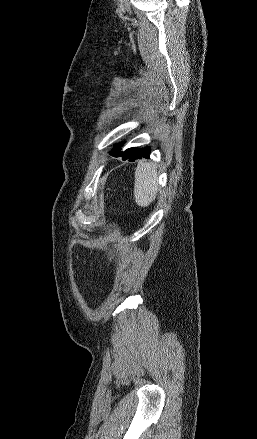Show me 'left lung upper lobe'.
I'll list each match as a JSON object with an SVG mask.
<instances>
[{
  "mask_svg": "<svg viewBox=\"0 0 257 439\" xmlns=\"http://www.w3.org/2000/svg\"><path fill=\"white\" fill-rule=\"evenodd\" d=\"M122 145H123V143L118 144V146H122ZM134 149L135 148H129V149H126L124 152H120V151H118V148H116L115 150L111 151L110 154L115 156V157H117V156L123 157V156H127L128 154H130Z\"/></svg>",
  "mask_w": 257,
  "mask_h": 439,
  "instance_id": "5c2ea615",
  "label": "left lung upper lobe"
}]
</instances>
